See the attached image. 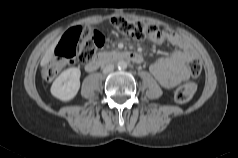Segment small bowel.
Returning <instances> with one entry per match:
<instances>
[{
  "instance_id": "obj_1",
  "label": "small bowel",
  "mask_w": 238,
  "mask_h": 158,
  "mask_svg": "<svg viewBox=\"0 0 238 158\" xmlns=\"http://www.w3.org/2000/svg\"><path fill=\"white\" fill-rule=\"evenodd\" d=\"M156 44L168 42L176 50L169 56L159 58L150 65V71L165 88L171 89L189 78L187 63L196 56L195 50L176 32L165 29L161 35L152 39Z\"/></svg>"
}]
</instances>
